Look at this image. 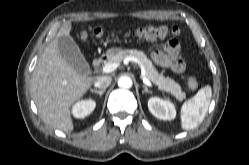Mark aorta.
I'll list each match as a JSON object with an SVG mask.
<instances>
[{
	"label": "aorta",
	"mask_w": 249,
	"mask_h": 165,
	"mask_svg": "<svg viewBox=\"0 0 249 165\" xmlns=\"http://www.w3.org/2000/svg\"><path fill=\"white\" fill-rule=\"evenodd\" d=\"M118 86L122 89H129L132 87V79L129 76H121L118 79Z\"/></svg>",
	"instance_id": "762f6f07"
}]
</instances>
